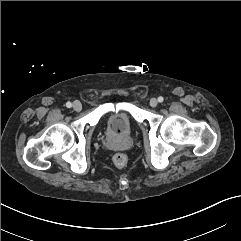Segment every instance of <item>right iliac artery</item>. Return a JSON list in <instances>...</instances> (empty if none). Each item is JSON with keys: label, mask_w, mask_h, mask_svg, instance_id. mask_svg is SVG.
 I'll list each match as a JSON object with an SVG mask.
<instances>
[{"label": "right iliac artery", "mask_w": 241, "mask_h": 241, "mask_svg": "<svg viewBox=\"0 0 241 241\" xmlns=\"http://www.w3.org/2000/svg\"><path fill=\"white\" fill-rule=\"evenodd\" d=\"M66 107H67V108H71V107H72V103H71V102H67V103H66Z\"/></svg>", "instance_id": "1"}]
</instances>
